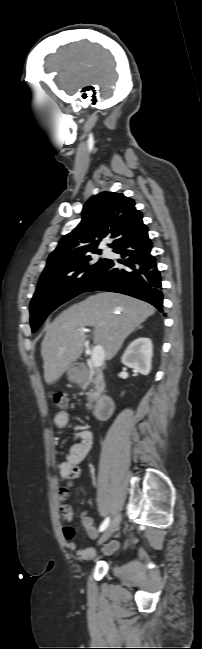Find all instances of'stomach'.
<instances>
[{
    "label": "stomach",
    "instance_id": "1",
    "mask_svg": "<svg viewBox=\"0 0 202 649\" xmlns=\"http://www.w3.org/2000/svg\"><path fill=\"white\" fill-rule=\"evenodd\" d=\"M67 375L70 382L78 383L81 380L82 372L79 370L78 367L71 365L67 369Z\"/></svg>",
    "mask_w": 202,
    "mask_h": 649
}]
</instances>
